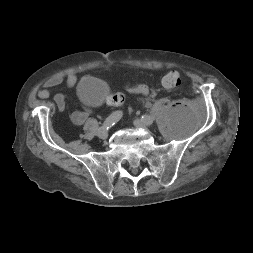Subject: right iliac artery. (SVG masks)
Here are the masks:
<instances>
[{
  "label": "right iliac artery",
  "instance_id": "82829eb1",
  "mask_svg": "<svg viewBox=\"0 0 253 253\" xmlns=\"http://www.w3.org/2000/svg\"><path fill=\"white\" fill-rule=\"evenodd\" d=\"M123 112L122 111H115L113 112L103 123L102 127H106L107 129L113 126L122 118Z\"/></svg>",
  "mask_w": 253,
  "mask_h": 253
}]
</instances>
